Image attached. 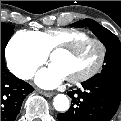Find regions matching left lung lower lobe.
Masks as SVG:
<instances>
[{
  "instance_id": "0a47b994",
  "label": "left lung lower lobe",
  "mask_w": 121,
  "mask_h": 121,
  "mask_svg": "<svg viewBox=\"0 0 121 121\" xmlns=\"http://www.w3.org/2000/svg\"><path fill=\"white\" fill-rule=\"evenodd\" d=\"M83 90L68 92L72 105L59 121H109L121 100V82L97 77L82 83Z\"/></svg>"
}]
</instances>
